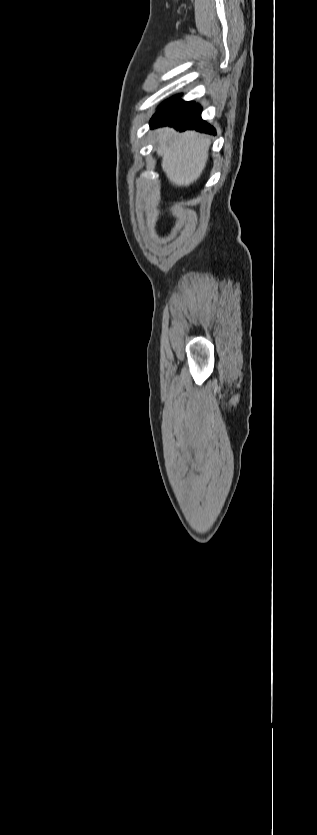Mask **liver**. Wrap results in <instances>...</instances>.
Returning <instances> with one entry per match:
<instances>
[{"label":"liver","instance_id":"liver-1","mask_svg":"<svg viewBox=\"0 0 317 835\" xmlns=\"http://www.w3.org/2000/svg\"><path fill=\"white\" fill-rule=\"evenodd\" d=\"M156 152L162 157V169L176 187L196 182L208 160L210 138L195 131L177 133L168 127L155 130Z\"/></svg>","mask_w":317,"mask_h":835}]
</instances>
